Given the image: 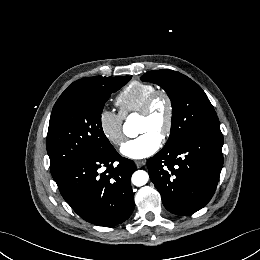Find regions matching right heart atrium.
Masks as SVG:
<instances>
[{"instance_id":"right-heart-atrium-1","label":"right heart atrium","mask_w":260,"mask_h":260,"mask_svg":"<svg viewBox=\"0 0 260 260\" xmlns=\"http://www.w3.org/2000/svg\"><path fill=\"white\" fill-rule=\"evenodd\" d=\"M123 117L108 108H102L98 114V124L103 136L114 146L124 141Z\"/></svg>"}]
</instances>
